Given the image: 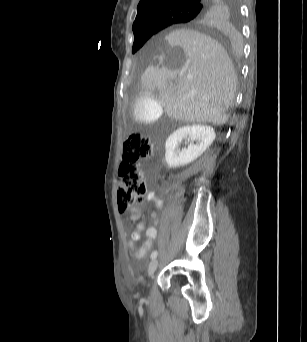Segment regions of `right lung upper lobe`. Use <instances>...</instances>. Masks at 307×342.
<instances>
[{
	"instance_id": "right-lung-upper-lobe-1",
	"label": "right lung upper lobe",
	"mask_w": 307,
	"mask_h": 342,
	"mask_svg": "<svg viewBox=\"0 0 307 342\" xmlns=\"http://www.w3.org/2000/svg\"><path fill=\"white\" fill-rule=\"evenodd\" d=\"M232 4L231 0H141L133 33L160 27L170 13L194 9L198 11L197 15L187 22L208 35L226 38L231 31Z\"/></svg>"
}]
</instances>
